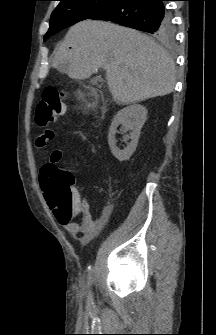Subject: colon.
<instances>
[{"label": "colon", "instance_id": "1", "mask_svg": "<svg viewBox=\"0 0 216 335\" xmlns=\"http://www.w3.org/2000/svg\"><path fill=\"white\" fill-rule=\"evenodd\" d=\"M68 109L64 95L55 87H47L44 89L41 100L38 102L35 111V122L38 127H46L56 120V118L64 114ZM49 166L44 167V171H48ZM53 177L48 186L50 187V196L55 203L63 207V219L70 216L73 211L75 200L71 187L74 181L73 173L68 169H60L55 167L52 169Z\"/></svg>", "mask_w": 216, "mask_h": 335}]
</instances>
